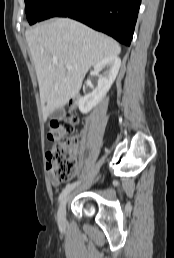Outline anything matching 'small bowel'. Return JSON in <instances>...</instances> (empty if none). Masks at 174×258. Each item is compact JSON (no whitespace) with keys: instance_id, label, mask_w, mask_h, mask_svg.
Instances as JSON below:
<instances>
[{"instance_id":"c3829d8e","label":"small bowel","mask_w":174,"mask_h":258,"mask_svg":"<svg viewBox=\"0 0 174 258\" xmlns=\"http://www.w3.org/2000/svg\"><path fill=\"white\" fill-rule=\"evenodd\" d=\"M51 182H52V184H53L54 186H58V185H59V181H58L57 179H55V178H52V179H51Z\"/></svg>"}]
</instances>
